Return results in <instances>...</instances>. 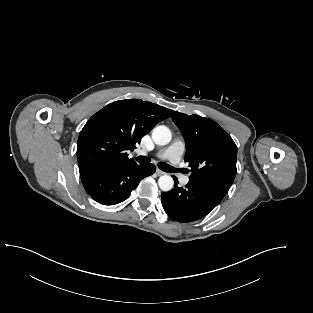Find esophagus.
<instances>
[{
    "instance_id": "34e87169",
    "label": "esophagus",
    "mask_w": 313,
    "mask_h": 313,
    "mask_svg": "<svg viewBox=\"0 0 313 313\" xmlns=\"http://www.w3.org/2000/svg\"><path fill=\"white\" fill-rule=\"evenodd\" d=\"M156 174H157L158 176H161V175H164L165 172H163V171L160 170V169H157V170H156Z\"/></svg>"
}]
</instances>
